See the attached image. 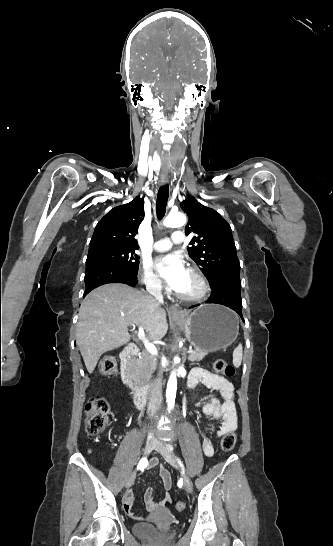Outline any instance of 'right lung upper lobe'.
<instances>
[{
  "instance_id": "obj_1",
  "label": "right lung upper lobe",
  "mask_w": 333,
  "mask_h": 546,
  "mask_svg": "<svg viewBox=\"0 0 333 546\" xmlns=\"http://www.w3.org/2000/svg\"><path fill=\"white\" fill-rule=\"evenodd\" d=\"M144 199L136 197L131 202L111 209L96 225L89 251L103 247L138 249L134 238L144 219Z\"/></svg>"
}]
</instances>
